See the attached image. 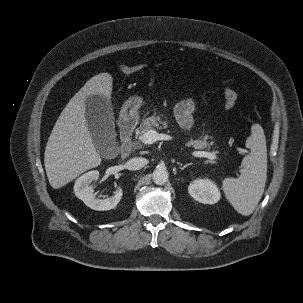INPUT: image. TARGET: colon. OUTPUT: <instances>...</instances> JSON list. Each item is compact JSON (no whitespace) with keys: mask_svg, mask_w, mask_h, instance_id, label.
Here are the masks:
<instances>
[{"mask_svg":"<svg viewBox=\"0 0 303 303\" xmlns=\"http://www.w3.org/2000/svg\"><path fill=\"white\" fill-rule=\"evenodd\" d=\"M143 67L142 64L132 66L123 65L119 68V71L123 74H132L140 71ZM223 97L226 109L231 110L237 105L238 95L232 86L229 85L224 88Z\"/></svg>","mask_w":303,"mask_h":303,"instance_id":"1","label":"colon"}]
</instances>
